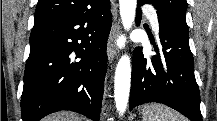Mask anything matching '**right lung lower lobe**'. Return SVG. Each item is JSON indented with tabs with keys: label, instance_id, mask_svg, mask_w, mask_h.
Listing matches in <instances>:
<instances>
[{
	"label": "right lung lower lobe",
	"instance_id": "right-lung-lower-lobe-1",
	"mask_svg": "<svg viewBox=\"0 0 217 121\" xmlns=\"http://www.w3.org/2000/svg\"><path fill=\"white\" fill-rule=\"evenodd\" d=\"M34 24L21 97L23 121L71 110L99 121L111 27L109 0Z\"/></svg>",
	"mask_w": 217,
	"mask_h": 121
}]
</instances>
